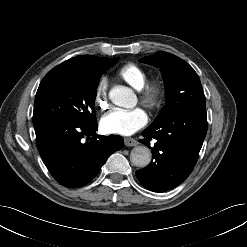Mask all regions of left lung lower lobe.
<instances>
[{
    "label": "left lung lower lobe",
    "mask_w": 247,
    "mask_h": 247,
    "mask_svg": "<svg viewBox=\"0 0 247 247\" xmlns=\"http://www.w3.org/2000/svg\"><path fill=\"white\" fill-rule=\"evenodd\" d=\"M207 132L206 110L175 115L142 132L141 143L152 151L151 163L136 171L148 190L165 192L181 184L192 172ZM155 142L150 146V141Z\"/></svg>",
    "instance_id": "obj_1"
}]
</instances>
